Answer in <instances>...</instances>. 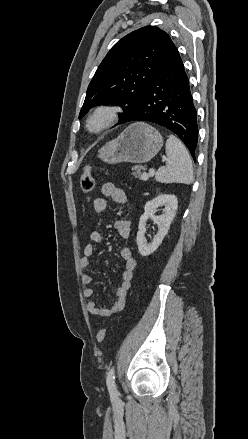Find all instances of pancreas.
Here are the masks:
<instances>
[{
	"mask_svg": "<svg viewBox=\"0 0 248 439\" xmlns=\"http://www.w3.org/2000/svg\"><path fill=\"white\" fill-rule=\"evenodd\" d=\"M144 169L145 168L143 166H134L132 168L133 175L142 179L143 174H145V172H142Z\"/></svg>",
	"mask_w": 248,
	"mask_h": 439,
	"instance_id": "pancreas-1",
	"label": "pancreas"
}]
</instances>
